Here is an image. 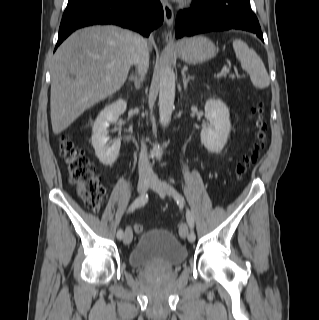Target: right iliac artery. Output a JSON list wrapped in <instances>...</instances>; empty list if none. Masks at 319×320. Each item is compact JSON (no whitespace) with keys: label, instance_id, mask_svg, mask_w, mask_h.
<instances>
[{"label":"right iliac artery","instance_id":"obj_1","mask_svg":"<svg viewBox=\"0 0 319 320\" xmlns=\"http://www.w3.org/2000/svg\"><path fill=\"white\" fill-rule=\"evenodd\" d=\"M148 200V195L147 194H143L141 196H139L138 198H136L134 200V202L130 205V207L128 208V213L129 212H133L136 208L144 206L147 203ZM123 230L119 229L117 232V238L119 240H121L123 238Z\"/></svg>","mask_w":319,"mask_h":320}]
</instances>
